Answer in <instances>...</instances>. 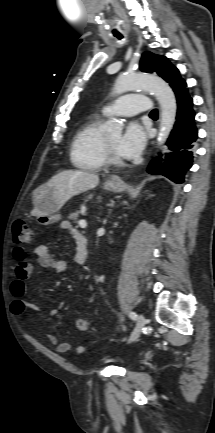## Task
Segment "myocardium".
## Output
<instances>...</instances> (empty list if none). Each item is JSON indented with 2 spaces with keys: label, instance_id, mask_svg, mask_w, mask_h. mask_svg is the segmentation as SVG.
<instances>
[{
  "label": "myocardium",
  "instance_id": "1",
  "mask_svg": "<svg viewBox=\"0 0 215 433\" xmlns=\"http://www.w3.org/2000/svg\"><path fill=\"white\" fill-rule=\"evenodd\" d=\"M104 156L106 164L120 166L124 163V161L116 154L115 150L108 142L107 137L104 138Z\"/></svg>",
  "mask_w": 215,
  "mask_h": 433
}]
</instances>
